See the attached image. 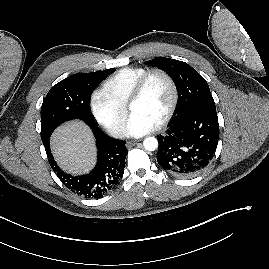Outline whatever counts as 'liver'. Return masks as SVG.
Masks as SVG:
<instances>
[{"mask_svg": "<svg viewBox=\"0 0 269 269\" xmlns=\"http://www.w3.org/2000/svg\"><path fill=\"white\" fill-rule=\"evenodd\" d=\"M51 147L58 164L70 173L88 172L95 164L93 135L81 121L59 127L51 138Z\"/></svg>", "mask_w": 269, "mask_h": 269, "instance_id": "1", "label": "liver"}]
</instances>
